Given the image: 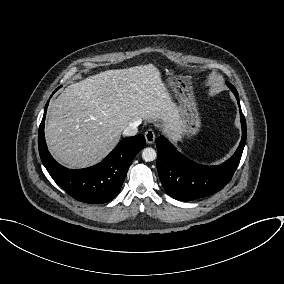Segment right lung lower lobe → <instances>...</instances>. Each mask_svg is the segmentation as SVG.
Listing matches in <instances>:
<instances>
[{"mask_svg": "<svg viewBox=\"0 0 284 284\" xmlns=\"http://www.w3.org/2000/svg\"><path fill=\"white\" fill-rule=\"evenodd\" d=\"M48 103L49 101L46 103L38 133L39 154L48 173L65 192L78 201L90 204L111 201L120 192L136 154L145 147L144 136L123 139L103 161L92 167L67 169L52 158L46 146L44 121Z\"/></svg>", "mask_w": 284, "mask_h": 284, "instance_id": "1", "label": "right lung lower lobe"}]
</instances>
